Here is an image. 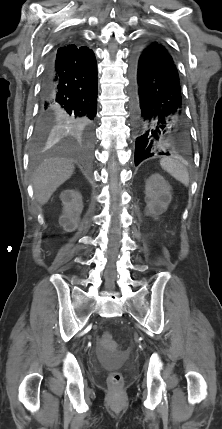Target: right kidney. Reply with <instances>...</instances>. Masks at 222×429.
I'll list each match as a JSON object with an SVG mask.
<instances>
[{
  "label": "right kidney",
  "instance_id": "1",
  "mask_svg": "<svg viewBox=\"0 0 222 429\" xmlns=\"http://www.w3.org/2000/svg\"><path fill=\"white\" fill-rule=\"evenodd\" d=\"M60 198L63 205V214L59 218V224L66 232H72L78 227L82 213V196L75 190H64L61 192Z\"/></svg>",
  "mask_w": 222,
  "mask_h": 429
}]
</instances>
